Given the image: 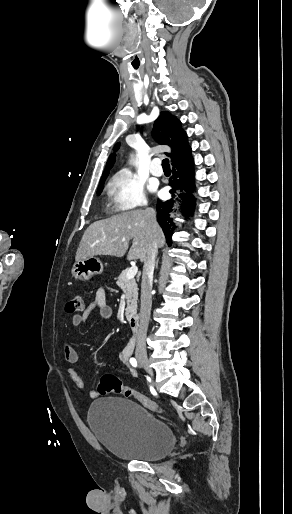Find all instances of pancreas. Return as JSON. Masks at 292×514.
<instances>
[{"label": "pancreas", "mask_w": 292, "mask_h": 514, "mask_svg": "<svg viewBox=\"0 0 292 514\" xmlns=\"http://www.w3.org/2000/svg\"><path fill=\"white\" fill-rule=\"evenodd\" d=\"M127 272L128 270H123L122 274L118 276L116 284L121 288V290H123L126 296L127 308L125 314L128 318H131V316L136 314L137 310L138 286L134 278H132V280H128Z\"/></svg>", "instance_id": "1"}]
</instances>
